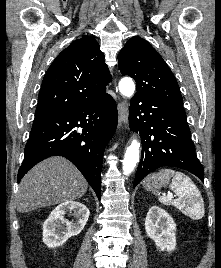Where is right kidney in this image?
Returning <instances> with one entry per match:
<instances>
[{"label":"right kidney","mask_w":221,"mask_h":268,"mask_svg":"<svg viewBox=\"0 0 221 268\" xmlns=\"http://www.w3.org/2000/svg\"><path fill=\"white\" fill-rule=\"evenodd\" d=\"M74 212L75 222L64 218L68 212ZM90 212L80 202L67 201L58 205L43 224V242L49 248L63 245L70 237L78 235L86 225Z\"/></svg>","instance_id":"right-kidney-1"}]
</instances>
